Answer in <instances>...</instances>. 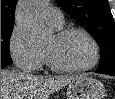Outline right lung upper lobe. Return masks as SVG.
Masks as SVG:
<instances>
[{
    "label": "right lung upper lobe",
    "instance_id": "right-lung-upper-lobe-1",
    "mask_svg": "<svg viewBox=\"0 0 115 99\" xmlns=\"http://www.w3.org/2000/svg\"><path fill=\"white\" fill-rule=\"evenodd\" d=\"M17 0H1V27L14 26V10Z\"/></svg>",
    "mask_w": 115,
    "mask_h": 99
}]
</instances>
